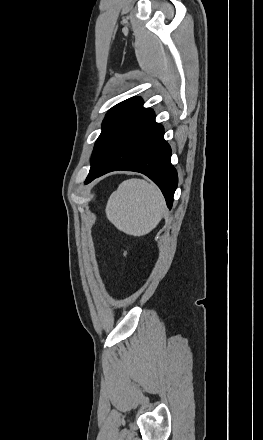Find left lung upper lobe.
Instances as JSON below:
<instances>
[{
  "label": "left lung upper lobe",
  "instance_id": "left-lung-upper-lobe-1",
  "mask_svg": "<svg viewBox=\"0 0 263 440\" xmlns=\"http://www.w3.org/2000/svg\"><path fill=\"white\" fill-rule=\"evenodd\" d=\"M142 105V99L134 97L110 109L103 121L102 132L94 146L89 174L100 171L106 165Z\"/></svg>",
  "mask_w": 263,
  "mask_h": 440
}]
</instances>
